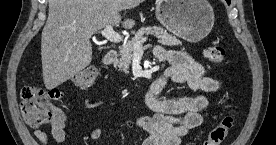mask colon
Masks as SVG:
<instances>
[{
	"label": "colon",
	"instance_id": "5ec220e1",
	"mask_svg": "<svg viewBox=\"0 0 276 145\" xmlns=\"http://www.w3.org/2000/svg\"><path fill=\"white\" fill-rule=\"evenodd\" d=\"M225 50L222 46H209L204 51V57L212 64L222 63ZM98 77V70L88 66L78 71L71 78L72 84L78 89H87ZM61 96L55 88H43L34 85L24 86L21 90L20 108L25 122L31 127H41L49 123L55 114L54 102ZM235 115L228 113L222 117L210 131L203 145H221L234 126Z\"/></svg>",
	"mask_w": 276,
	"mask_h": 145
}]
</instances>
